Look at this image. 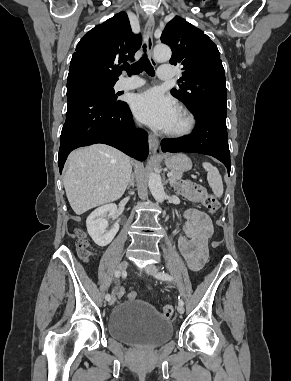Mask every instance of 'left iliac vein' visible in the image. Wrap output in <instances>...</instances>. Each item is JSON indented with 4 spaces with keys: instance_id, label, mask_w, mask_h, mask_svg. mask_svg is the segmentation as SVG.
<instances>
[{
    "instance_id": "4c4485c4",
    "label": "left iliac vein",
    "mask_w": 291,
    "mask_h": 381,
    "mask_svg": "<svg viewBox=\"0 0 291 381\" xmlns=\"http://www.w3.org/2000/svg\"><path fill=\"white\" fill-rule=\"evenodd\" d=\"M146 272L151 274V275H155L158 273V268L153 265V264H150L146 267ZM177 311L180 313V314H183L184 313V306L183 304H180L178 303V306H177Z\"/></svg>"
}]
</instances>
